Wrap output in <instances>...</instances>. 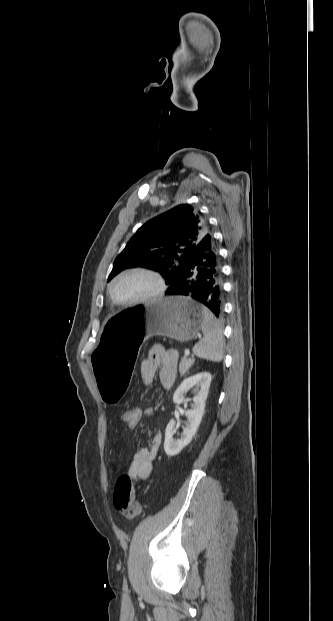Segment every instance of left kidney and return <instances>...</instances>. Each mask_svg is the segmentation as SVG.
Listing matches in <instances>:
<instances>
[{"label":"left kidney","mask_w":333,"mask_h":621,"mask_svg":"<svg viewBox=\"0 0 333 621\" xmlns=\"http://www.w3.org/2000/svg\"><path fill=\"white\" fill-rule=\"evenodd\" d=\"M211 379L212 377L210 373L202 372L186 378L176 389L173 395V401L175 404H187L188 400L185 399L184 394L191 388H194L195 396L192 399L193 403L191 404V409L186 410L185 412L187 420L185 427H183L181 439H173L175 421L170 420L167 424L164 450L168 456L177 455L191 442L192 437L195 435L204 414L205 401L208 396Z\"/></svg>","instance_id":"obj_1"}]
</instances>
